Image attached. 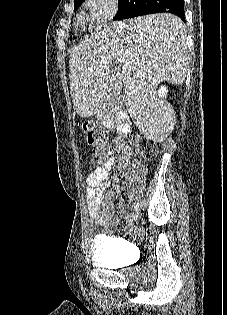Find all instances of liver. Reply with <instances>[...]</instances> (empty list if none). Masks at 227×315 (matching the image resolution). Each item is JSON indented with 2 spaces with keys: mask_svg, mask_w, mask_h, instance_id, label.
Here are the masks:
<instances>
[{
  "mask_svg": "<svg viewBox=\"0 0 227 315\" xmlns=\"http://www.w3.org/2000/svg\"><path fill=\"white\" fill-rule=\"evenodd\" d=\"M189 61L180 18L159 13L114 22L70 54L73 106L81 117H91L119 99L123 89L133 123L148 139L162 142L176 122L172 106L156 98L157 86L163 81L181 85Z\"/></svg>",
  "mask_w": 227,
  "mask_h": 315,
  "instance_id": "6515ba94",
  "label": "liver"
}]
</instances>
